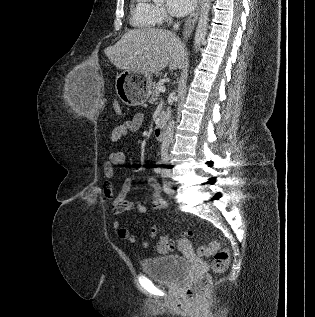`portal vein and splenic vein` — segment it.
Instances as JSON below:
<instances>
[{
	"label": "portal vein and splenic vein",
	"mask_w": 315,
	"mask_h": 317,
	"mask_svg": "<svg viewBox=\"0 0 315 317\" xmlns=\"http://www.w3.org/2000/svg\"><path fill=\"white\" fill-rule=\"evenodd\" d=\"M165 90H166L165 87H161V88L159 89V91L162 92V93L165 92Z\"/></svg>",
	"instance_id": "18ae733b"
}]
</instances>
